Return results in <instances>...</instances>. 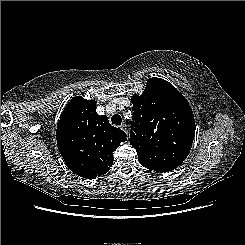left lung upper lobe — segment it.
<instances>
[{
  "label": "left lung upper lobe",
  "mask_w": 245,
  "mask_h": 245,
  "mask_svg": "<svg viewBox=\"0 0 245 245\" xmlns=\"http://www.w3.org/2000/svg\"><path fill=\"white\" fill-rule=\"evenodd\" d=\"M130 144L138 160L156 172L171 171L188 156L195 135L192 109L168 81L147 80L142 95L132 96Z\"/></svg>",
  "instance_id": "left-lung-upper-lobe-1"
}]
</instances>
